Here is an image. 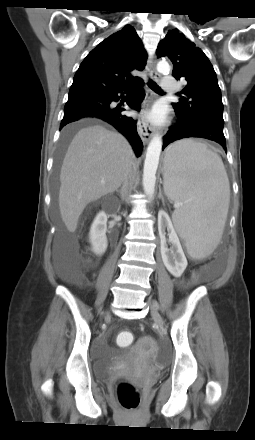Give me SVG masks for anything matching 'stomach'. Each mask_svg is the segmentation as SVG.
<instances>
[{
  "mask_svg": "<svg viewBox=\"0 0 255 440\" xmlns=\"http://www.w3.org/2000/svg\"><path fill=\"white\" fill-rule=\"evenodd\" d=\"M170 155H171V151L169 149V151L166 153V156H165V165H167L169 158H170Z\"/></svg>",
  "mask_w": 255,
  "mask_h": 440,
  "instance_id": "obj_1",
  "label": "stomach"
}]
</instances>
